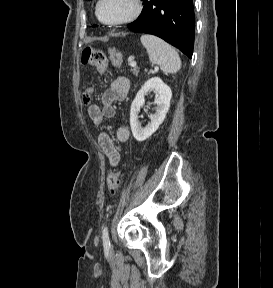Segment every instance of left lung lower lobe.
Segmentation results:
<instances>
[{
    "label": "left lung lower lobe",
    "instance_id": "obj_1",
    "mask_svg": "<svg viewBox=\"0 0 273 288\" xmlns=\"http://www.w3.org/2000/svg\"><path fill=\"white\" fill-rule=\"evenodd\" d=\"M142 13L128 28L156 35L192 58L194 45L193 0H142Z\"/></svg>",
    "mask_w": 273,
    "mask_h": 288
}]
</instances>
